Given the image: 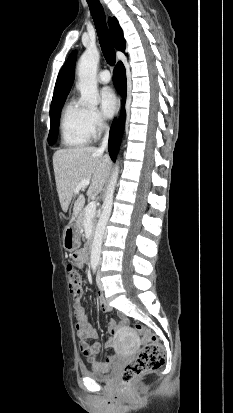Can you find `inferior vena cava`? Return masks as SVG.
Segmentation results:
<instances>
[{"label":"inferior vena cava","instance_id":"1","mask_svg":"<svg viewBox=\"0 0 233 413\" xmlns=\"http://www.w3.org/2000/svg\"><path fill=\"white\" fill-rule=\"evenodd\" d=\"M108 136H109V130L106 131V134H105V136H104V138H103V141H102V143H101L100 150H102V151L107 148V145H108Z\"/></svg>","mask_w":233,"mask_h":413}]
</instances>
